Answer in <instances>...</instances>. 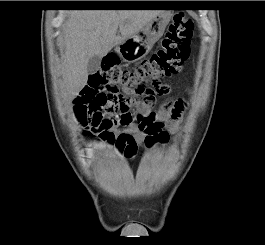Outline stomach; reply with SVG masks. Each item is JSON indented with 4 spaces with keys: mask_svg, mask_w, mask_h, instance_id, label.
Returning <instances> with one entry per match:
<instances>
[{
    "mask_svg": "<svg viewBox=\"0 0 265 245\" xmlns=\"http://www.w3.org/2000/svg\"><path fill=\"white\" fill-rule=\"evenodd\" d=\"M171 16L169 11H161L138 33L125 39L116 46L118 55L128 63L136 62L144 58L164 34Z\"/></svg>",
    "mask_w": 265,
    "mask_h": 245,
    "instance_id": "0dacf381",
    "label": "stomach"
}]
</instances>
